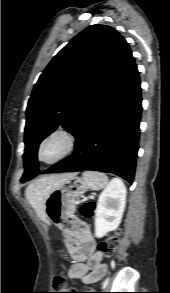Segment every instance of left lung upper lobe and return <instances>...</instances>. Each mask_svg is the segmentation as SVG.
I'll list each match as a JSON object with an SVG mask.
<instances>
[{
    "instance_id": "1",
    "label": "left lung upper lobe",
    "mask_w": 170,
    "mask_h": 293,
    "mask_svg": "<svg viewBox=\"0 0 170 293\" xmlns=\"http://www.w3.org/2000/svg\"><path fill=\"white\" fill-rule=\"evenodd\" d=\"M131 55L128 43L115 29L96 24L51 60L28 101L21 183L40 173L39 143L60 126L76 136Z\"/></svg>"
}]
</instances>
